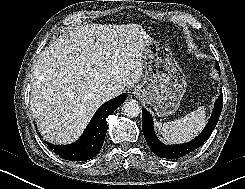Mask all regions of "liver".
<instances>
[{"instance_id": "liver-1", "label": "liver", "mask_w": 245, "mask_h": 189, "mask_svg": "<svg viewBox=\"0 0 245 189\" xmlns=\"http://www.w3.org/2000/svg\"><path fill=\"white\" fill-rule=\"evenodd\" d=\"M153 39L138 24H86L68 29L38 57L31 110L42 136L69 144L108 100L143 76V49Z\"/></svg>"}]
</instances>
